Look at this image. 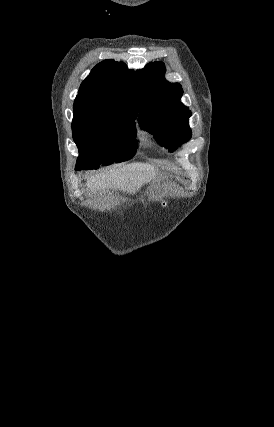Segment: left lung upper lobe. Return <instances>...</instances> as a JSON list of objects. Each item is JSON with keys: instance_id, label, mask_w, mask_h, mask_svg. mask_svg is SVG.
<instances>
[{"instance_id": "1", "label": "left lung upper lobe", "mask_w": 274, "mask_h": 427, "mask_svg": "<svg viewBox=\"0 0 274 427\" xmlns=\"http://www.w3.org/2000/svg\"><path fill=\"white\" fill-rule=\"evenodd\" d=\"M161 62L149 63L133 76V101L139 112L141 128L154 134L161 146L174 151L188 141L191 111L179 100L183 90L179 83H169Z\"/></svg>"}]
</instances>
